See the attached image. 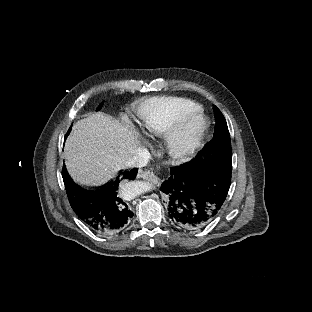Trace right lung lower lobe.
<instances>
[{
    "label": "right lung lower lobe",
    "instance_id": "1",
    "mask_svg": "<svg viewBox=\"0 0 312 312\" xmlns=\"http://www.w3.org/2000/svg\"><path fill=\"white\" fill-rule=\"evenodd\" d=\"M137 168L121 171L107 184L96 189H84L69 177L65 165L62 177L72 209L93 232L113 235L122 232L130 223L133 212L124 197L126 184L134 180Z\"/></svg>",
    "mask_w": 312,
    "mask_h": 312
}]
</instances>
